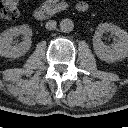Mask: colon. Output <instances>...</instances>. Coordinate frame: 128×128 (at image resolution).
<instances>
[{
    "mask_svg": "<svg viewBox=\"0 0 128 128\" xmlns=\"http://www.w3.org/2000/svg\"><path fill=\"white\" fill-rule=\"evenodd\" d=\"M20 0H0V19L13 21L19 14Z\"/></svg>",
    "mask_w": 128,
    "mask_h": 128,
    "instance_id": "colon-1",
    "label": "colon"
}]
</instances>
